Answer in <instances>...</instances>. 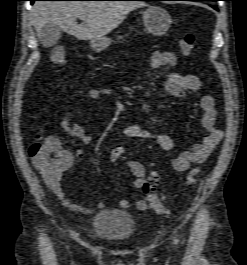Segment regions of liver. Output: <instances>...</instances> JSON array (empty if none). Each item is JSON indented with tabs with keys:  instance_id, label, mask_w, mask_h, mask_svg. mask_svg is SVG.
<instances>
[{
	"instance_id": "obj_1",
	"label": "liver",
	"mask_w": 247,
	"mask_h": 265,
	"mask_svg": "<svg viewBox=\"0 0 247 265\" xmlns=\"http://www.w3.org/2000/svg\"><path fill=\"white\" fill-rule=\"evenodd\" d=\"M145 3L138 1H36L30 18L39 36L46 24H55L78 40H98L117 28L127 15ZM85 17L79 25L77 18Z\"/></svg>"
}]
</instances>
